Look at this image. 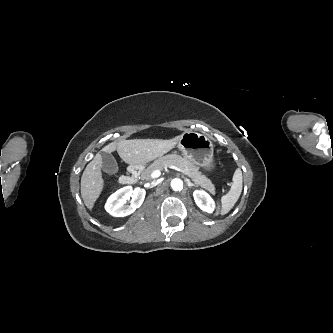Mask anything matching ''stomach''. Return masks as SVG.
I'll return each instance as SVG.
<instances>
[{
  "label": "stomach",
  "mask_w": 333,
  "mask_h": 333,
  "mask_svg": "<svg viewBox=\"0 0 333 333\" xmlns=\"http://www.w3.org/2000/svg\"><path fill=\"white\" fill-rule=\"evenodd\" d=\"M178 148L182 155L197 167L207 171L215 169L214 149L211 140L204 134L185 132L180 135Z\"/></svg>",
  "instance_id": "0dacf381"
}]
</instances>
